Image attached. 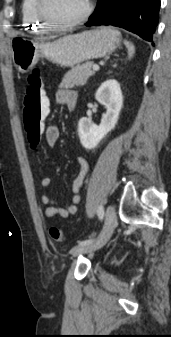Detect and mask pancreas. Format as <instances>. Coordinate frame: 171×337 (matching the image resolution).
Returning a JSON list of instances; mask_svg holds the SVG:
<instances>
[{"mask_svg": "<svg viewBox=\"0 0 171 337\" xmlns=\"http://www.w3.org/2000/svg\"><path fill=\"white\" fill-rule=\"evenodd\" d=\"M92 62H86L82 65L72 67L63 77L60 88H73L83 86L90 76L94 75Z\"/></svg>", "mask_w": 171, "mask_h": 337, "instance_id": "pancreas-1", "label": "pancreas"}]
</instances>
